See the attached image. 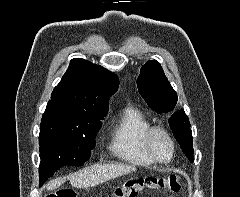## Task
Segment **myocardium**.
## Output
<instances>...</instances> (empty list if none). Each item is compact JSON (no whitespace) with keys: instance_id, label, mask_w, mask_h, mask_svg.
<instances>
[{"instance_id":"1","label":"myocardium","mask_w":240,"mask_h":197,"mask_svg":"<svg viewBox=\"0 0 240 197\" xmlns=\"http://www.w3.org/2000/svg\"><path fill=\"white\" fill-rule=\"evenodd\" d=\"M156 133L163 134L169 140V142L171 144V155L166 160H162V159L158 158V156L155 154V152L152 148V138ZM143 147H144V150H145L146 154L148 155V157L154 163L161 164V165L169 164L174 159V156L176 153V144H175L174 138L172 137L171 133L162 126H151L150 128H148L146 130V132L143 135Z\"/></svg>"}]
</instances>
